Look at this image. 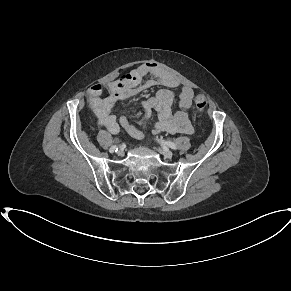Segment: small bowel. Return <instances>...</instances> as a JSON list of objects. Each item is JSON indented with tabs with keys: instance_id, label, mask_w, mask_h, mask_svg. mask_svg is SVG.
<instances>
[{
	"instance_id": "1",
	"label": "small bowel",
	"mask_w": 291,
	"mask_h": 291,
	"mask_svg": "<svg viewBox=\"0 0 291 291\" xmlns=\"http://www.w3.org/2000/svg\"><path fill=\"white\" fill-rule=\"evenodd\" d=\"M146 78V79H145ZM145 79V80H144ZM162 84L167 89L161 90L156 96L142 102L143 117L140 123H145L152 110L158 113V119L153 123V133H193L188 113L192 104L193 90L184 86L178 94V110L173 112L172 106L176 94L172 90L179 85L178 79L156 63H145L135 68L120 79L109 83L106 88L109 97L102 99L103 86L96 84L88 91V104L93 112L97 124L105 127L111 133H117L123 128L135 139H144L145 134L134 127L125 116L119 119L112 113L113 107L122 101L134 98L142 88Z\"/></svg>"
}]
</instances>
